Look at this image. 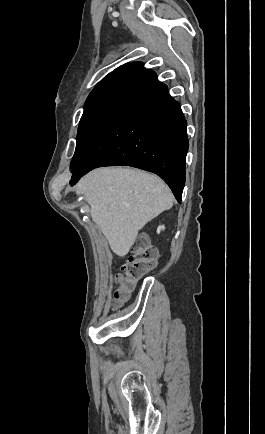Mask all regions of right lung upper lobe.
I'll return each mask as SVG.
<instances>
[{"label": "right lung upper lobe", "mask_w": 265, "mask_h": 434, "mask_svg": "<svg viewBox=\"0 0 265 434\" xmlns=\"http://www.w3.org/2000/svg\"><path fill=\"white\" fill-rule=\"evenodd\" d=\"M145 69L143 63L141 62H134V63H126L118 68H116L114 71L109 73L103 80L116 77V76H122V75H128V76H135L139 72L143 71Z\"/></svg>", "instance_id": "obj_1"}]
</instances>
